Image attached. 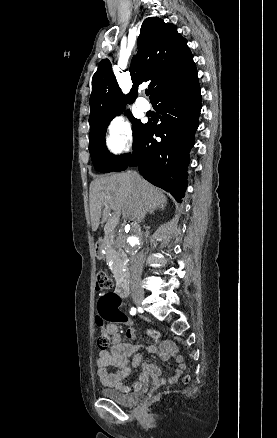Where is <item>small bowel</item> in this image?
I'll use <instances>...</instances> for the list:
<instances>
[{"label": "small bowel", "instance_id": "c3829d8e", "mask_svg": "<svg viewBox=\"0 0 277 438\" xmlns=\"http://www.w3.org/2000/svg\"><path fill=\"white\" fill-rule=\"evenodd\" d=\"M126 331L130 338H135V323L132 321L128 322ZM106 332L112 336V344L109 349L103 350L99 353L96 359V367L98 376L103 385L108 387H114L121 392H128L130 388L124 383V381L130 375V361L134 366L138 365L140 362V356L135 354V347L124 342L121 339L118 327L116 325H109L106 328ZM160 338L154 342L153 347L159 350L160 356L167 360L173 357L178 365L177 370L170 378V381H177L186 369V365L183 358L177 354V348L172 345L171 342H166L165 346H162ZM143 373L140 377V381L135 384V389H140L145 386L151 379L160 381L162 378L161 372L152 365L151 360L143 361ZM113 367L112 372H108L107 368Z\"/></svg>", "mask_w": 277, "mask_h": 438}]
</instances>
